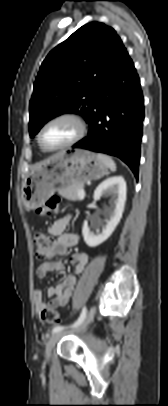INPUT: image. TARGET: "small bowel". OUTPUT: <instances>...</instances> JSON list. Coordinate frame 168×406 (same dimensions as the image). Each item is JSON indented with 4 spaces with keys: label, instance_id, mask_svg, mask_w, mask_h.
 Here are the masks:
<instances>
[{
    "label": "small bowel",
    "instance_id": "obj_1",
    "mask_svg": "<svg viewBox=\"0 0 168 406\" xmlns=\"http://www.w3.org/2000/svg\"><path fill=\"white\" fill-rule=\"evenodd\" d=\"M70 220L71 215L67 214L48 226L47 232L56 238L55 244L49 259L42 262L36 269L37 278L43 279L52 272H60L64 269L62 262L55 260V257L66 255L68 249L79 241L77 233L67 232ZM89 258L87 253L72 254L70 261L74 265L75 275H67L56 286L48 287L46 290L47 302L43 299L41 289L34 292L35 308L38 314H41L44 308L64 307L68 304L77 284L76 276L83 273Z\"/></svg>",
    "mask_w": 168,
    "mask_h": 406
}]
</instances>
